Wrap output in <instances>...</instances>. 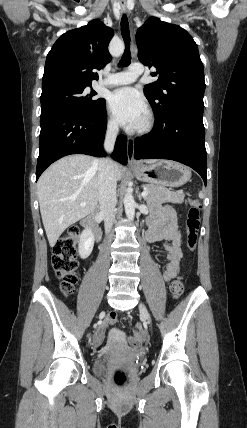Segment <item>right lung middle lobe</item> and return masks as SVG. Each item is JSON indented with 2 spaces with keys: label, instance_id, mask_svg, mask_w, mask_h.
<instances>
[{
  "label": "right lung middle lobe",
  "instance_id": "dd1d6c3e",
  "mask_svg": "<svg viewBox=\"0 0 247 428\" xmlns=\"http://www.w3.org/2000/svg\"><path fill=\"white\" fill-rule=\"evenodd\" d=\"M89 86H62L42 92L41 114L65 110L82 115H94L104 105L105 99L94 98L97 94L93 89L88 90Z\"/></svg>",
  "mask_w": 247,
  "mask_h": 428
}]
</instances>
